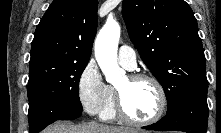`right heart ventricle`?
<instances>
[{
    "label": "right heart ventricle",
    "mask_w": 221,
    "mask_h": 133,
    "mask_svg": "<svg viewBox=\"0 0 221 133\" xmlns=\"http://www.w3.org/2000/svg\"><path fill=\"white\" fill-rule=\"evenodd\" d=\"M108 92V101L99 115L105 121H113L117 118L115 106V88L113 86H108Z\"/></svg>",
    "instance_id": "obj_1"
}]
</instances>
